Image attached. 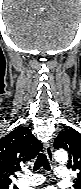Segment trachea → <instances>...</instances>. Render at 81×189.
I'll list each match as a JSON object with an SVG mask.
<instances>
[{"mask_svg":"<svg viewBox=\"0 0 81 189\" xmlns=\"http://www.w3.org/2000/svg\"><path fill=\"white\" fill-rule=\"evenodd\" d=\"M41 167H43L45 170L47 171H50L51 168H50V165H49V162H48V159L46 157L45 154L43 153H40L34 163V167H33V170L34 171H37L39 170Z\"/></svg>","mask_w":81,"mask_h":189,"instance_id":"obj_1","label":"trachea"}]
</instances>
